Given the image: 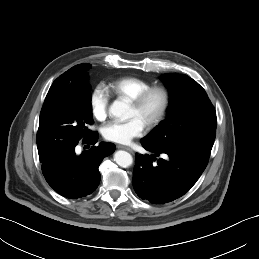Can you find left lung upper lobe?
I'll use <instances>...</instances> for the list:
<instances>
[{
	"instance_id": "1",
	"label": "left lung upper lobe",
	"mask_w": 259,
	"mask_h": 259,
	"mask_svg": "<svg viewBox=\"0 0 259 259\" xmlns=\"http://www.w3.org/2000/svg\"><path fill=\"white\" fill-rule=\"evenodd\" d=\"M170 94L166 120L143 140L171 150L196 145L212 147L216 135V111L205 90L183 74L161 77Z\"/></svg>"
}]
</instances>
